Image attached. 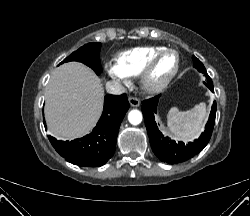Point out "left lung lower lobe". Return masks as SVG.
<instances>
[{
    "mask_svg": "<svg viewBox=\"0 0 250 216\" xmlns=\"http://www.w3.org/2000/svg\"><path fill=\"white\" fill-rule=\"evenodd\" d=\"M207 79L206 86L214 92L213 82L206 72L203 73ZM159 95L142 102L141 110L146 123V128L150 140L151 148L154 154L162 161L170 164L184 162L200 151L207 145L210 140L216 116V101L213 102L209 120L205 126V131L201 134L199 139L194 142L184 144L179 141L178 143L171 140L169 137L164 136L158 129L155 122L154 114L157 113V105Z\"/></svg>",
    "mask_w": 250,
    "mask_h": 216,
    "instance_id": "0a47b994",
    "label": "left lung lower lobe"
}]
</instances>
